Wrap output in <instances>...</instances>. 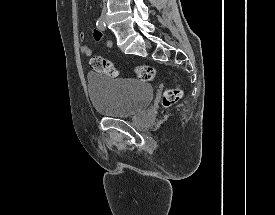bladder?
Returning <instances> with one entry per match:
<instances>
[{
    "mask_svg": "<svg viewBox=\"0 0 275 215\" xmlns=\"http://www.w3.org/2000/svg\"><path fill=\"white\" fill-rule=\"evenodd\" d=\"M86 80L94 110L106 117L134 116L146 109L153 97L152 86L135 78L114 79L90 73Z\"/></svg>",
    "mask_w": 275,
    "mask_h": 215,
    "instance_id": "obj_1",
    "label": "bladder"
}]
</instances>
